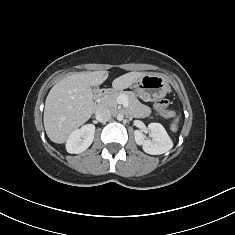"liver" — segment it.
Returning a JSON list of instances; mask_svg holds the SVG:
<instances>
[{"mask_svg":"<svg viewBox=\"0 0 235 235\" xmlns=\"http://www.w3.org/2000/svg\"><path fill=\"white\" fill-rule=\"evenodd\" d=\"M108 71L72 73L50 90L44 109V127L47 136L54 143L66 142L70 134L87 122L93 114L92 86L102 84L108 78ZM146 75L143 72H129L112 82L115 90L130 87Z\"/></svg>","mask_w":235,"mask_h":235,"instance_id":"1","label":"liver"}]
</instances>
